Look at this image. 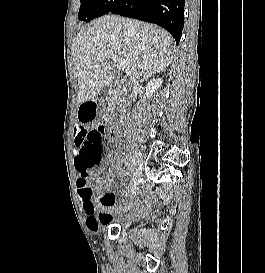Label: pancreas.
<instances>
[{"label":"pancreas","instance_id":"cf45deb5","mask_svg":"<svg viewBox=\"0 0 265 273\" xmlns=\"http://www.w3.org/2000/svg\"><path fill=\"white\" fill-rule=\"evenodd\" d=\"M112 105H114V102L111 100V101L109 102V107H111Z\"/></svg>","mask_w":265,"mask_h":273}]
</instances>
